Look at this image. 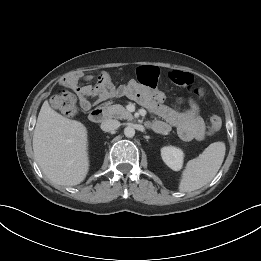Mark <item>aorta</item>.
Wrapping results in <instances>:
<instances>
[{"instance_id":"obj_1","label":"aorta","mask_w":261,"mask_h":261,"mask_svg":"<svg viewBox=\"0 0 261 261\" xmlns=\"http://www.w3.org/2000/svg\"><path fill=\"white\" fill-rule=\"evenodd\" d=\"M124 135L127 137V138H132L134 137L135 135V129L131 126H127L125 129H124Z\"/></svg>"}]
</instances>
